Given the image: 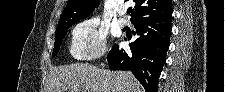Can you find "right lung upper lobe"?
I'll list each match as a JSON object with an SVG mask.
<instances>
[{
    "label": "right lung upper lobe",
    "mask_w": 225,
    "mask_h": 92,
    "mask_svg": "<svg viewBox=\"0 0 225 92\" xmlns=\"http://www.w3.org/2000/svg\"><path fill=\"white\" fill-rule=\"evenodd\" d=\"M133 1L136 3V6L131 14V23L143 18L162 17L172 13L171 0ZM98 4L99 0H69L62 12L58 26L77 23L90 15Z\"/></svg>",
    "instance_id": "obj_1"
}]
</instances>
